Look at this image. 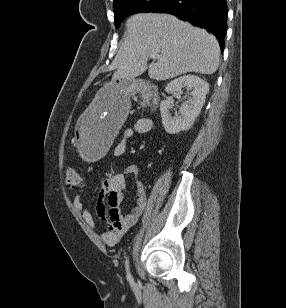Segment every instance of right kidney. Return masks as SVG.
Here are the masks:
<instances>
[{"label": "right kidney", "instance_id": "right-kidney-1", "mask_svg": "<svg viewBox=\"0 0 286 308\" xmlns=\"http://www.w3.org/2000/svg\"><path fill=\"white\" fill-rule=\"evenodd\" d=\"M191 90V98L188 103H183L179 114L175 113L172 117V109L169 100L160 103V112L164 129L169 134H178L191 128L195 119L201 112L205 103L206 94L209 92V85L206 81L195 75H185L171 81L165 91L167 93H182V89Z\"/></svg>", "mask_w": 286, "mask_h": 308}]
</instances>
